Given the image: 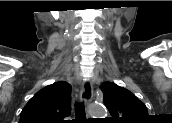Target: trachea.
Instances as JSON below:
<instances>
[{"mask_svg":"<svg viewBox=\"0 0 172 123\" xmlns=\"http://www.w3.org/2000/svg\"><path fill=\"white\" fill-rule=\"evenodd\" d=\"M76 120H83L85 117L84 103L75 105Z\"/></svg>","mask_w":172,"mask_h":123,"instance_id":"obj_1","label":"trachea"}]
</instances>
